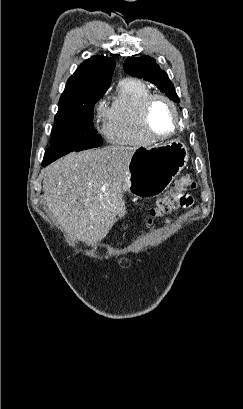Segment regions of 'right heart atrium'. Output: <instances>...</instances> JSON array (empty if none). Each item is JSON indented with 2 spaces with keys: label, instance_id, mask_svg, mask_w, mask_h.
<instances>
[{
  "label": "right heart atrium",
  "instance_id": "right-heart-atrium-1",
  "mask_svg": "<svg viewBox=\"0 0 243 409\" xmlns=\"http://www.w3.org/2000/svg\"><path fill=\"white\" fill-rule=\"evenodd\" d=\"M108 119V108L105 101L101 100L96 107V125L101 132L106 134V126Z\"/></svg>",
  "mask_w": 243,
  "mask_h": 409
}]
</instances>
